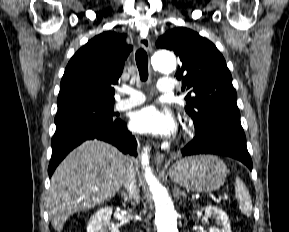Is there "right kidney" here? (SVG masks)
<instances>
[{
    "label": "right kidney",
    "instance_id": "right-kidney-1",
    "mask_svg": "<svg viewBox=\"0 0 289 232\" xmlns=\"http://www.w3.org/2000/svg\"><path fill=\"white\" fill-rule=\"evenodd\" d=\"M111 215V207L96 211L88 222L87 232H119L118 228L110 223Z\"/></svg>",
    "mask_w": 289,
    "mask_h": 232
}]
</instances>
